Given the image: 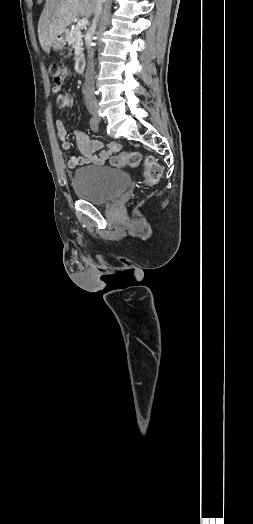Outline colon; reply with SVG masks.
Segmentation results:
<instances>
[{"label":"colon","instance_id":"5ec220e1","mask_svg":"<svg viewBox=\"0 0 253 524\" xmlns=\"http://www.w3.org/2000/svg\"><path fill=\"white\" fill-rule=\"evenodd\" d=\"M49 73L53 78L56 87H61L62 83L69 75V69L59 64H51L49 66ZM142 156L137 151H125L118 153L114 159L113 164L116 167H137L141 163ZM163 170L160 164L152 157H148L145 161V183L147 185L156 184L162 177Z\"/></svg>","mask_w":253,"mask_h":524}]
</instances>
